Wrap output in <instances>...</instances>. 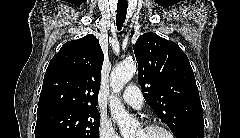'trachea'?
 I'll return each mask as SVG.
<instances>
[{
    "label": "trachea",
    "instance_id": "1",
    "mask_svg": "<svg viewBox=\"0 0 240 138\" xmlns=\"http://www.w3.org/2000/svg\"><path fill=\"white\" fill-rule=\"evenodd\" d=\"M127 4L117 5V14H116V26L117 30H121L123 24L125 22L126 14H127Z\"/></svg>",
    "mask_w": 240,
    "mask_h": 138
}]
</instances>
